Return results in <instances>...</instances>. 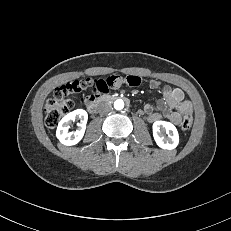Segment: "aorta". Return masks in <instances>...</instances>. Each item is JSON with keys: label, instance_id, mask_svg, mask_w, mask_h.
<instances>
[{"label": "aorta", "instance_id": "1", "mask_svg": "<svg viewBox=\"0 0 231 231\" xmlns=\"http://www.w3.org/2000/svg\"><path fill=\"white\" fill-rule=\"evenodd\" d=\"M114 108L116 110H122L124 108V102L123 100L121 99H117L115 102H114Z\"/></svg>", "mask_w": 231, "mask_h": 231}]
</instances>
